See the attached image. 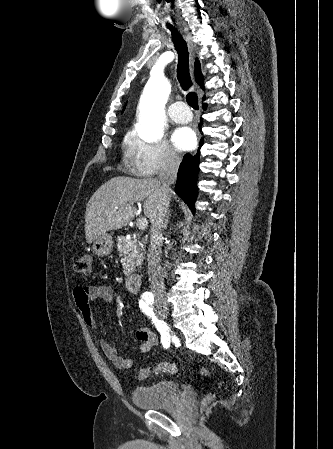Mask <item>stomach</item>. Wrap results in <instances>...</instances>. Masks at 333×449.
Instances as JSON below:
<instances>
[{
	"mask_svg": "<svg viewBox=\"0 0 333 449\" xmlns=\"http://www.w3.org/2000/svg\"><path fill=\"white\" fill-rule=\"evenodd\" d=\"M93 251L98 256H105L111 253L113 248V240L111 235L105 233L100 235L93 241Z\"/></svg>",
	"mask_w": 333,
	"mask_h": 449,
	"instance_id": "0dacf381",
	"label": "stomach"
}]
</instances>
